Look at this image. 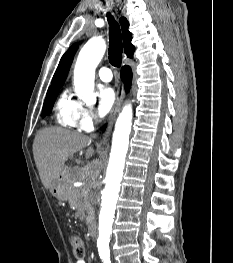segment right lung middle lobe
I'll return each instance as SVG.
<instances>
[{"mask_svg": "<svg viewBox=\"0 0 233 263\" xmlns=\"http://www.w3.org/2000/svg\"><path fill=\"white\" fill-rule=\"evenodd\" d=\"M60 88L61 87L52 88L48 90L47 96L45 98L44 105H43L42 117H45L46 115L50 114Z\"/></svg>", "mask_w": 233, "mask_h": 263, "instance_id": "obj_1", "label": "right lung middle lobe"}]
</instances>
